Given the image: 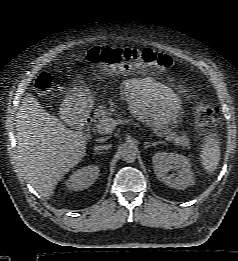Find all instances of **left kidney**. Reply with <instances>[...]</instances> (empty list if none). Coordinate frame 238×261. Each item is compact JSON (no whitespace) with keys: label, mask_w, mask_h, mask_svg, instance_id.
<instances>
[{"label":"left kidney","mask_w":238,"mask_h":261,"mask_svg":"<svg viewBox=\"0 0 238 261\" xmlns=\"http://www.w3.org/2000/svg\"><path fill=\"white\" fill-rule=\"evenodd\" d=\"M153 169L157 178L167 186L183 190L195 183L190 160L183 155L167 152H156L152 157ZM171 170L177 176L169 175Z\"/></svg>","instance_id":"5707ae66"}]
</instances>
